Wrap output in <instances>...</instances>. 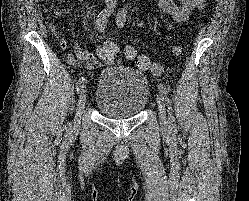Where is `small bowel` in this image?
Segmentation results:
<instances>
[{"mask_svg": "<svg viewBox=\"0 0 249 201\" xmlns=\"http://www.w3.org/2000/svg\"><path fill=\"white\" fill-rule=\"evenodd\" d=\"M206 0H159V9L166 14L173 23H181L188 19V17L195 10H200L204 7ZM53 33H56V27L50 25ZM98 30V29H97ZM98 32H101L98 30ZM60 47L66 50L67 44L65 39L61 38ZM66 60L69 64H74L76 60L84 61L85 69H95L99 66V62L90 51L83 50L76 42L73 45L72 51L67 53Z\"/></svg>", "mask_w": 249, "mask_h": 201, "instance_id": "obj_1", "label": "small bowel"}]
</instances>
